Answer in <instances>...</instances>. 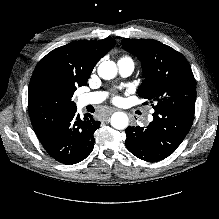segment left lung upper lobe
I'll return each mask as SVG.
<instances>
[{
    "label": "left lung upper lobe",
    "mask_w": 219,
    "mask_h": 219,
    "mask_svg": "<svg viewBox=\"0 0 219 219\" xmlns=\"http://www.w3.org/2000/svg\"><path fill=\"white\" fill-rule=\"evenodd\" d=\"M122 46L141 60L144 80L137 93L155 110L195 103L196 82L181 53L151 39H123Z\"/></svg>",
    "instance_id": "1"
}]
</instances>
